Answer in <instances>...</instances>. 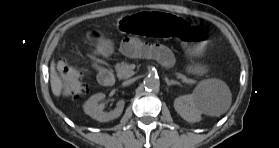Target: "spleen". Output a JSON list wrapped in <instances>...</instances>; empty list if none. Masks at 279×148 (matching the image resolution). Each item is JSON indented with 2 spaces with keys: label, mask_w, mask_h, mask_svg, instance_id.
<instances>
[{
  "label": "spleen",
  "mask_w": 279,
  "mask_h": 148,
  "mask_svg": "<svg viewBox=\"0 0 279 148\" xmlns=\"http://www.w3.org/2000/svg\"><path fill=\"white\" fill-rule=\"evenodd\" d=\"M222 90L226 95V101L221 104V108L219 109L217 114H222L228 110L231 104V94L227 86L221 81L217 79H208L202 81L199 86L196 87L194 93L200 97L202 100L206 99L209 100L210 98H214V93L217 90ZM215 101L217 104H220V99L215 97Z\"/></svg>",
  "instance_id": "spleen-1"
}]
</instances>
